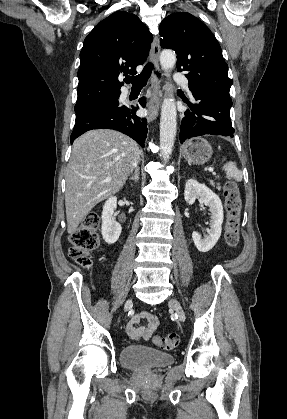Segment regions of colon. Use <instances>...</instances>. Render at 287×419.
Wrapping results in <instances>:
<instances>
[{"instance_id":"obj_1","label":"colon","mask_w":287,"mask_h":419,"mask_svg":"<svg viewBox=\"0 0 287 419\" xmlns=\"http://www.w3.org/2000/svg\"><path fill=\"white\" fill-rule=\"evenodd\" d=\"M227 221L225 227V241L230 248H237L240 241V214L242 200L237 185L228 181L223 186ZM100 215L97 211L89 213L76 231L70 236L69 256L81 267L89 268L92 264L91 253L99 246L98 228ZM156 346L171 350L178 346L179 337L174 334L157 336Z\"/></svg>"}]
</instances>
